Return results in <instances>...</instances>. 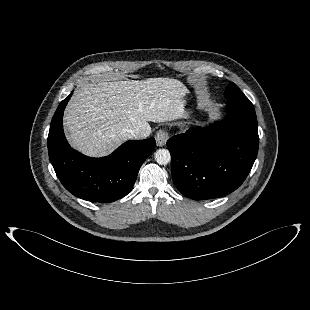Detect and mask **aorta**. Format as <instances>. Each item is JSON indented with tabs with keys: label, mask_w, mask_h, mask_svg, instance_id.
I'll use <instances>...</instances> for the list:
<instances>
[{
	"label": "aorta",
	"mask_w": 310,
	"mask_h": 310,
	"mask_svg": "<svg viewBox=\"0 0 310 310\" xmlns=\"http://www.w3.org/2000/svg\"><path fill=\"white\" fill-rule=\"evenodd\" d=\"M154 158L159 165H167L171 160V155L167 149H158L154 154Z\"/></svg>",
	"instance_id": "obj_1"
}]
</instances>
